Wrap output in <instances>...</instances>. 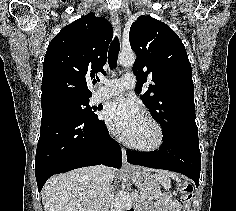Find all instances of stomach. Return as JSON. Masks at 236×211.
I'll return each instance as SVG.
<instances>
[{
  "label": "stomach",
  "instance_id": "obj_1",
  "mask_svg": "<svg viewBox=\"0 0 236 211\" xmlns=\"http://www.w3.org/2000/svg\"><path fill=\"white\" fill-rule=\"evenodd\" d=\"M128 175L137 186L138 190L144 195L145 200L153 203L154 197L157 196L160 191V186L149 172L139 167H132Z\"/></svg>",
  "mask_w": 236,
  "mask_h": 211
}]
</instances>
